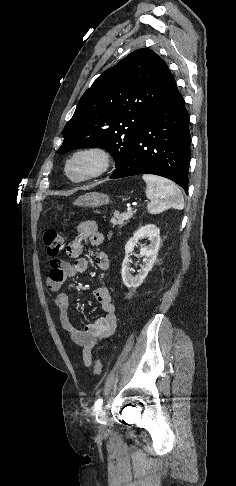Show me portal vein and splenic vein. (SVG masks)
Returning a JSON list of instances; mask_svg holds the SVG:
<instances>
[{"instance_id":"portal-vein-and-splenic-vein-1","label":"portal vein and splenic vein","mask_w":236,"mask_h":486,"mask_svg":"<svg viewBox=\"0 0 236 486\" xmlns=\"http://www.w3.org/2000/svg\"><path fill=\"white\" fill-rule=\"evenodd\" d=\"M127 211H128V212L132 211V207H131V206H128V207H127Z\"/></svg>"}]
</instances>
